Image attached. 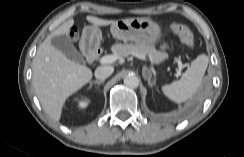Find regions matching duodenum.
Returning a JSON list of instances; mask_svg holds the SVG:
<instances>
[{"label":"duodenum","instance_id":"obj_1","mask_svg":"<svg viewBox=\"0 0 244 157\" xmlns=\"http://www.w3.org/2000/svg\"><path fill=\"white\" fill-rule=\"evenodd\" d=\"M84 50L90 62H94L97 59L98 53L96 52V50L88 47L87 45L85 46Z\"/></svg>","mask_w":244,"mask_h":157}]
</instances>
